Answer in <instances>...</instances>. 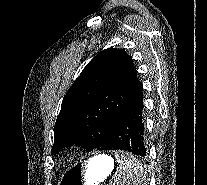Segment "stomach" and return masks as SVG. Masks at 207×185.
Listing matches in <instances>:
<instances>
[{
  "label": "stomach",
  "mask_w": 207,
  "mask_h": 185,
  "mask_svg": "<svg viewBox=\"0 0 207 185\" xmlns=\"http://www.w3.org/2000/svg\"><path fill=\"white\" fill-rule=\"evenodd\" d=\"M113 169L114 159L111 156L98 155L66 171L59 185H99Z\"/></svg>",
  "instance_id": "0dacf381"
}]
</instances>
